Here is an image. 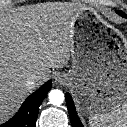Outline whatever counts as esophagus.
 <instances>
[{"label":"esophagus","mask_w":127,"mask_h":127,"mask_svg":"<svg viewBox=\"0 0 127 127\" xmlns=\"http://www.w3.org/2000/svg\"><path fill=\"white\" fill-rule=\"evenodd\" d=\"M55 82H56V84H62L63 83V79L60 76H57L55 78Z\"/></svg>","instance_id":"obj_1"}]
</instances>
